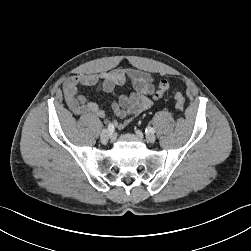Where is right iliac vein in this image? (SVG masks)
Masks as SVG:
<instances>
[{"label":"right iliac vein","instance_id":"1","mask_svg":"<svg viewBox=\"0 0 251 251\" xmlns=\"http://www.w3.org/2000/svg\"><path fill=\"white\" fill-rule=\"evenodd\" d=\"M111 132L108 129H103L100 133V139L102 142H107L111 138Z\"/></svg>","mask_w":251,"mask_h":251}]
</instances>
